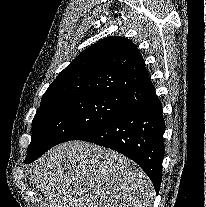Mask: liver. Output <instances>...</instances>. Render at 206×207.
Wrapping results in <instances>:
<instances>
[{
	"mask_svg": "<svg viewBox=\"0 0 206 207\" xmlns=\"http://www.w3.org/2000/svg\"><path fill=\"white\" fill-rule=\"evenodd\" d=\"M30 182L44 207H150L151 180L133 161L83 141L57 145L33 165Z\"/></svg>",
	"mask_w": 206,
	"mask_h": 207,
	"instance_id": "6515ba94",
	"label": "liver"
}]
</instances>
